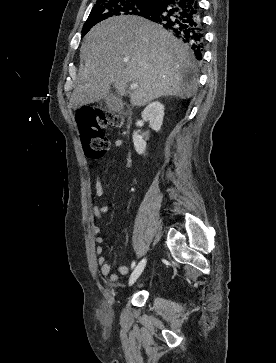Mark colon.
Listing matches in <instances>:
<instances>
[{"instance_id": "5ec220e1", "label": "colon", "mask_w": 276, "mask_h": 363, "mask_svg": "<svg viewBox=\"0 0 276 363\" xmlns=\"http://www.w3.org/2000/svg\"><path fill=\"white\" fill-rule=\"evenodd\" d=\"M81 131V139L85 154L92 159H98L109 149V139L105 133L108 126H119L121 118L108 112L86 109L76 116Z\"/></svg>"}]
</instances>
